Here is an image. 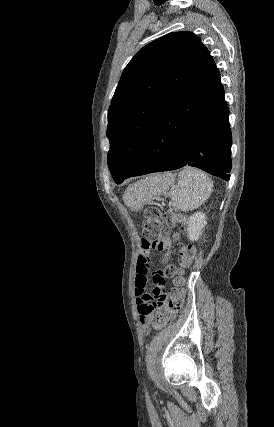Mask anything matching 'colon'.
<instances>
[{"instance_id": "obj_1", "label": "colon", "mask_w": 274, "mask_h": 427, "mask_svg": "<svg viewBox=\"0 0 274 427\" xmlns=\"http://www.w3.org/2000/svg\"><path fill=\"white\" fill-rule=\"evenodd\" d=\"M178 220V216L173 213L162 214L156 207L148 208L144 214L141 236H157L159 241L166 240L170 243L173 234L169 232L164 223L168 226H173ZM196 256L197 250L193 243H187L181 249L179 253V270L176 273V280H173V285L168 290V301H166L165 306H160L157 311H148L151 312V322L156 333H161L162 330L168 328V321L165 318H171L173 313L182 311L183 303L187 297L183 270L190 265Z\"/></svg>"}]
</instances>
